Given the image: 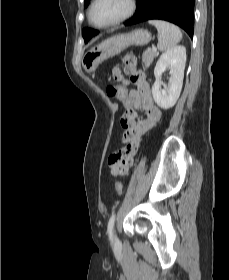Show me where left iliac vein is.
I'll use <instances>...</instances> for the list:
<instances>
[{
	"label": "left iliac vein",
	"instance_id": "4c4485c4",
	"mask_svg": "<svg viewBox=\"0 0 229 280\" xmlns=\"http://www.w3.org/2000/svg\"><path fill=\"white\" fill-rule=\"evenodd\" d=\"M114 242H117V237L115 234H114Z\"/></svg>",
	"mask_w": 229,
	"mask_h": 280
}]
</instances>
